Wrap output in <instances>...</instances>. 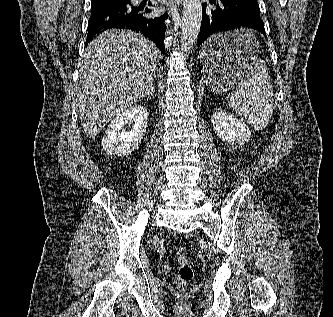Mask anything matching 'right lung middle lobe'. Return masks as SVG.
<instances>
[{
	"label": "right lung middle lobe",
	"mask_w": 333,
	"mask_h": 317,
	"mask_svg": "<svg viewBox=\"0 0 333 317\" xmlns=\"http://www.w3.org/2000/svg\"><path fill=\"white\" fill-rule=\"evenodd\" d=\"M127 1L121 0H93L91 3V7L106 5V4H124Z\"/></svg>",
	"instance_id": "1"
}]
</instances>
